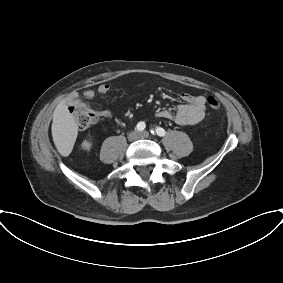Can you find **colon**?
<instances>
[{
  "label": "colon",
  "mask_w": 283,
  "mask_h": 283,
  "mask_svg": "<svg viewBox=\"0 0 283 283\" xmlns=\"http://www.w3.org/2000/svg\"><path fill=\"white\" fill-rule=\"evenodd\" d=\"M207 104L212 111L220 109V102L214 96L207 98ZM71 113L76 124L83 129L88 128L97 121V115L86 106L73 107Z\"/></svg>",
  "instance_id": "5ec220e1"
}]
</instances>
